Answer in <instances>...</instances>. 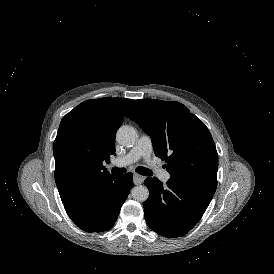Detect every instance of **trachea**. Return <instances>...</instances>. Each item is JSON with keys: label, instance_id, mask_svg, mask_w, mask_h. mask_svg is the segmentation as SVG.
Here are the masks:
<instances>
[{"label": "trachea", "instance_id": "1", "mask_svg": "<svg viewBox=\"0 0 274 274\" xmlns=\"http://www.w3.org/2000/svg\"><path fill=\"white\" fill-rule=\"evenodd\" d=\"M135 171L143 176H152L153 172L145 167H137L135 169ZM113 174H122L126 172V169L124 168H118V167H114L111 171Z\"/></svg>", "mask_w": 274, "mask_h": 274}]
</instances>
